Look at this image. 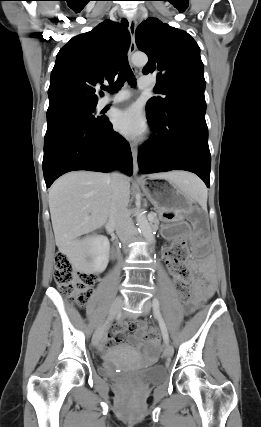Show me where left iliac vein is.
Segmentation results:
<instances>
[{
    "instance_id": "left-iliac-vein-1",
    "label": "left iliac vein",
    "mask_w": 261,
    "mask_h": 427,
    "mask_svg": "<svg viewBox=\"0 0 261 427\" xmlns=\"http://www.w3.org/2000/svg\"><path fill=\"white\" fill-rule=\"evenodd\" d=\"M151 307H152V303L150 300H146L142 304V310L145 314H148L150 312ZM173 353H174V349H173L172 345L167 342L165 345V350H164L165 356L170 358L173 356Z\"/></svg>"
}]
</instances>
